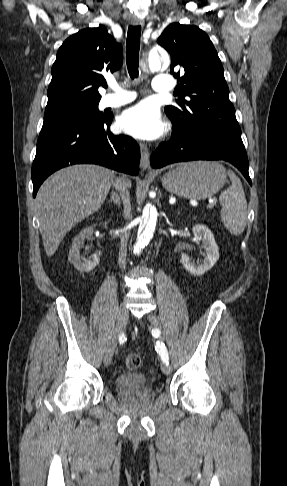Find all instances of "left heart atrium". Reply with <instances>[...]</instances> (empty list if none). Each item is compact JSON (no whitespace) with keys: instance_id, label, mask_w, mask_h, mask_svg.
Masks as SVG:
<instances>
[{"instance_id":"1","label":"left heart atrium","mask_w":287,"mask_h":486,"mask_svg":"<svg viewBox=\"0 0 287 486\" xmlns=\"http://www.w3.org/2000/svg\"><path fill=\"white\" fill-rule=\"evenodd\" d=\"M120 125L127 133L141 139H155L164 131L158 109L143 102L127 109L120 118Z\"/></svg>"}]
</instances>
